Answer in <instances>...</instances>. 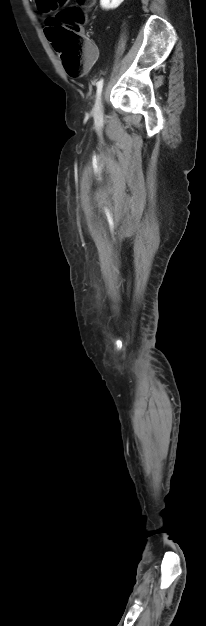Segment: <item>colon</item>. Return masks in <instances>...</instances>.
Segmentation results:
<instances>
[{
  "label": "colon",
  "instance_id": "5ec220e1",
  "mask_svg": "<svg viewBox=\"0 0 206 626\" xmlns=\"http://www.w3.org/2000/svg\"><path fill=\"white\" fill-rule=\"evenodd\" d=\"M95 0H76V5L66 7L68 0H42V10H58L55 18L50 19V39L55 50L60 54L67 73L79 76L83 73L87 56L81 26L85 23L84 9L92 6Z\"/></svg>",
  "mask_w": 206,
  "mask_h": 626
}]
</instances>
